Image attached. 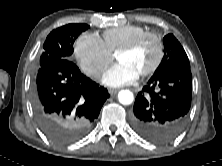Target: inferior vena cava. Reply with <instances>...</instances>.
Segmentation results:
<instances>
[{
  "instance_id": "1",
  "label": "inferior vena cava",
  "mask_w": 222,
  "mask_h": 166,
  "mask_svg": "<svg viewBox=\"0 0 222 166\" xmlns=\"http://www.w3.org/2000/svg\"><path fill=\"white\" fill-rule=\"evenodd\" d=\"M95 74H96V75H99V74H100V71H96Z\"/></svg>"
}]
</instances>
